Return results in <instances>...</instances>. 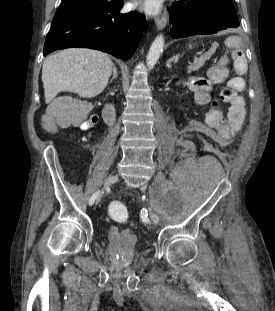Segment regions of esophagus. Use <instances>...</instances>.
<instances>
[{
	"label": "esophagus",
	"mask_w": 275,
	"mask_h": 311,
	"mask_svg": "<svg viewBox=\"0 0 275 311\" xmlns=\"http://www.w3.org/2000/svg\"><path fill=\"white\" fill-rule=\"evenodd\" d=\"M155 23L158 29H163L167 23V13L155 18Z\"/></svg>",
	"instance_id": "obj_1"
}]
</instances>
